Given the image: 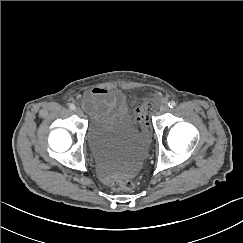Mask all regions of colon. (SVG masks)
I'll return each mask as SVG.
<instances>
[{"label": "colon", "mask_w": 243, "mask_h": 243, "mask_svg": "<svg viewBox=\"0 0 243 243\" xmlns=\"http://www.w3.org/2000/svg\"><path fill=\"white\" fill-rule=\"evenodd\" d=\"M150 109L151 104L144 100L139 99L134 103V118L142 128L148 125ZM134 186L135 182L132 179L116 180L112 183V188L115 191H129Z\"/></svg>", "instance_id": "5ec220e1"}]
</instances>
